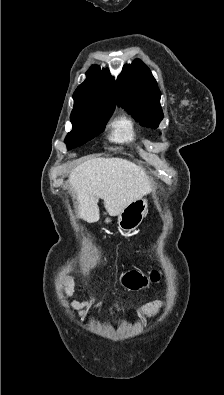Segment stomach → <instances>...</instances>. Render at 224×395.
Instances as JSON below:
<instances>
[{"label":"stomach","instance_id":"0dacf381","mask_svg":"<svg viewBox=\"0 0 224 395\" xmlns=\"http://www.w3.org/2000/svg\"><path fill=\"white\" fill-rule=\"evenodd\" d=\"M148 212L147 199L141 197L137 200L130 202L118 214V226L123 231H132L136 229L146 217ZM111 219L106 218L105 223H110Z\"/></svg>","mask_w":224,"mask_h":395}]
</instances>
